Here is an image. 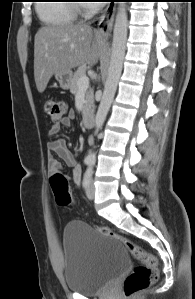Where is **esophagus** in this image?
<instances>
[{
  "mask_svg": "<svg viewBox=\"0 0 195 299\" xmlns=\"http://www.w3.org/2000/svg\"><path fill=\"white\" fill-rule=\"evenodd\" d=\"M116 11V4L110 1L101 15L98 30L103 36H108L112 30L114 16Z\"/></svg>",
  "mask_w": 195,
  "mask_h": 299,
  "instance_id": "34e87169",
  "label": "esophagus"
}]
</instances>
